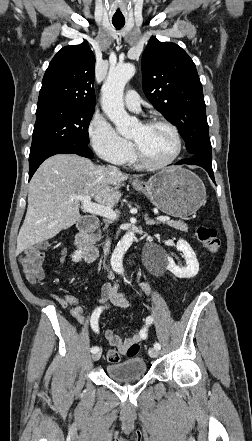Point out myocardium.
<instances>
[{"label": "myocardium", "mask_w": 252, "mask_h": 441, "mask_svg": "<svg viewBox=\"0 0 252 441\" xmlns=\"http://www.w3.org/2000/svg\"><path fill=\"white\" fill-rule=\"evenodd\" d=\"M142 125L145 127H151V126H165V127H167L172 132V134L175 138L176 148H175V152L173 153V155L167 161L160 162V163H153V162L149 161L144 156V154L142 153L140 148L132 141V145L134 148V154H135V158L137 159V161L143 167H145L147 169H152V170L163 169V168H166V167L172 165L180 156V154L182 152V147H183L182 138H181V135H180L178 128L174 124H172L171 122H169L165 119H160V118H153V119L146 120L142 123Z\"/></svg>", "instance_id": "obj_1"}]
</instances>
